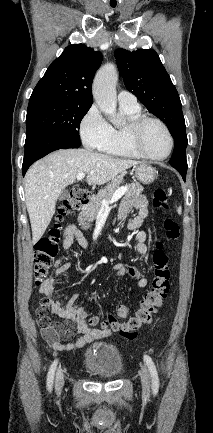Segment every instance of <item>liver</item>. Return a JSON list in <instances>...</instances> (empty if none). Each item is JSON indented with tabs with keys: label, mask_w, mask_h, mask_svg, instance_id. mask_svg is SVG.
<instances>
[{
	"label": "liver",
	"mask_w": 213,
	"mask_h": 433,
	"mask_svg": "<svg viewBox=\"0 0 213 433\" xmlns=\"http://www.w3.org/2000/svg\"><path fill=\"white\" fill-rule=\"evenodd\" d=\"M139 163L88 149H61L35 162L25 176L33 243L43 236L55 213L57 199L79 173L87 174L89 185H102Z\"/></svg>",
	"instance_id": "obj_1"
}]
</instances>
